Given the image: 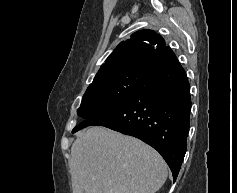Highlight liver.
Segmentation results:
<instances>
[{
    "instance_id": "1",
    "label": "liver",
    "mask_w": 237,
    "mask_h": 193,
    "mask_svg": "<svg viewBox=\"0 0 237 193\" xmlns=\"http://www.w3.org/2000/svg\"><path fill=\"white\" fill-rule=\"evenodd\" d=\"M73 193H155L167 165L141 140L101 126L80 133L71 147Z\"/></svg>"
}]
</instances>
